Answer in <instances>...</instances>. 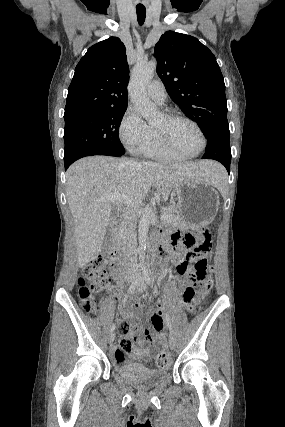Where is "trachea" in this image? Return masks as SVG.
Listing matches in <instances>:
<instances>
[{
  "instance_id": "obj_1",
  "label": "trachea",
  "mask_w": 285,
  "mask_h": 427,
  "mask_svg": "<svg viewBox=\"0 0 285 427\" xmlns=\"http://www.w3.org/2000/svg\"><path fill=\"white\" fill-rule=\"evenodd\" d=\"M137 20L139 25H143L146 18V8L145 7H136Z\"/></svg>"
}]
</instances>
